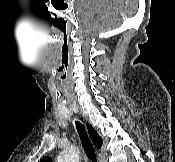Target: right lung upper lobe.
<instances>
[{
	"mask_svg": "<svg viewBox=\"0 0 175 162\" xmlns=\"http://www.w3.org/2000/svg\"><path fill=\"white\" fill-rule=\"evenodd\" d=\"M87 128H88L89 135L91 139L93 140V142L95 143L96 147L100 148L103 144L102 138L89 124H87ZM40 162H51V160L49 157H46L42 159Z\"/></svg>",
	"mask_w": 175,
	"mask_h": 162,
	"instance_id": "1",
	"label": "right lung upper lobe"
}]
</instances>
